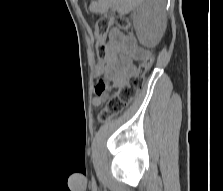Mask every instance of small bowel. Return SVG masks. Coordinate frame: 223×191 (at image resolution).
Returning <instances> with one entry per match:
<instances>
[{"label": "small bowel", "instance_id": "c3829d8e", "mask_svg": "<svg viewBox=\"0 0 223 191\" xmlns=\"http://www.w3.org/2000/svg\"><path fill=\"white\" fill-rule=\"evenodd\" d=\"M148 51L136 44L130 36L118 29H112L107 39L106 55L110 70L100 73L95 85V105H100L114 89L123 86L136 70V63L143 60Z\"/></svg>", "mask_w": 223, "mask_h": 191}]
</instances>
